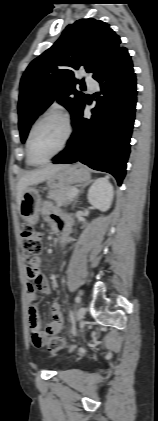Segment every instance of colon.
<instances>
[{
    "instance_id": "colon-1",
    "label": "colon",
    "mask_w": 158,
    "mask_h": 421,
    "mask_svg": "<svg viewBox=\"0 0 158 421\" xmlns=\"http://www.w3.org/2000/svg\"><path fill=\"white\" fill-rule=\"evenodd\" d=\"M21 244L24 259L29 267L35 265L42 251V236L30 226H25L21 232ZM41 339L35 335V343L39 344ZM44 343L51 351H57L64 347L63 338L55 335L48 336Z\"/></svg>"
}]
</instances>
